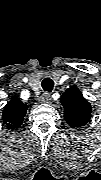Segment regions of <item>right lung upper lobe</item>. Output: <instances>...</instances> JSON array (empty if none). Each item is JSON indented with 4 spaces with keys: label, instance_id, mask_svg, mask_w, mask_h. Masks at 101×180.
<instances>
[{
    "label": "right lung upper lobe",
    "instance_id": "obj_1",
    "mask_svg": "<svg viewBox=\"0 0 101 180\" xmlns=\"http://www.w3.org/2000/svg\"><path fill=\"white\" fill-rule=\"evenodd\" d=\"M27 109V104H23L18 97L12 96L4 108L2 119L11 130L17 129L22 124Z\"/></svg>",
    "mask_w": 101,
    "mask_h": 180
}]
</instances>
